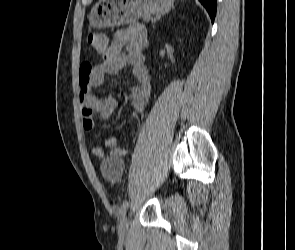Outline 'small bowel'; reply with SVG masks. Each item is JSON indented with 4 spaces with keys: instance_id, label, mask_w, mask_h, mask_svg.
I'll use <instances>...</instances> for the list:
<instances>
[{
    "instance_id": "small-bowel-1",
    "label": "small bowel",
    "mask_w": 295,
    "mask_h": 250,
    "mask_svg": "<svg viewBox=\"0 0 295 250\" xmlns=\"http://www.w3.org/2000/svg\"><path fill=\"white\" fill-rule=\"evenodd\" d=\"M106 39V37H105ZM147 41L146 30L141 25H131L119 29L105 46L98 51L102 60L98 63L84 61L80 66L79 74V99L81 104L82 126L90 134L94 128L93 115L103 121L110 119L118 107V102L113 97L99 98L92 90L101 85L109 74L130 69L136 83L131 89L130 104L134 111L143 116L145 105L151 93V78L146 69L143 47ZM126 49V51H124ZM105 146L113 155H121L124 150L117 145L115 138H109ZM93 154L101 158L104 155L102 147L93 148Z\"/></svg>"
}]
</instances>
